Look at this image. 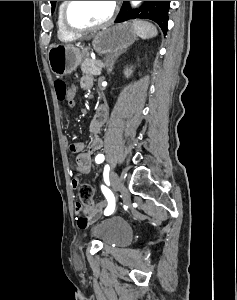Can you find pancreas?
I'll use <instances>...</instances> for the list:
<instances>
[{
  "instance_id": "cf45deb5",
  "label": "pancreas",
  "mask_w": 237,
  "mask_h": 300,
  "mask_svg": "<svg viewBox=\"0 0 237 300\" xmlns=\"http://www.w3.org/2000/svg\"><path fill=\"white\" fill-rule=\"evenodd\" d=\"M100 62V61H99ZM98 61H93V59H89V57H86L84 59L83 63H81V71L84 73V75H101L102 69L98 63ZM103 62V61H101ZM104 67H106V63L104 64Z\"/></svg>"
}]
</instances>
